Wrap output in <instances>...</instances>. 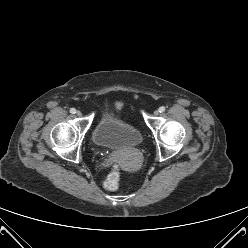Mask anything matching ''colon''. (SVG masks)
Wrapping results in <instances>:
<instances>
[{"label": "colon", "mask_w": 248, "mask_h": 248, "mask_svg": "<svg viewBox=\"0 0 248 248\" xmlns=\"http://www.w3.org/2000/svg\"><path fill=\"white\" fill-rule=\"evenodd\" d=\"M120 175L119 172L114 169L107 177L104 186L107 190L113 191L119 187Z\"/></svg>", "instance_id": "colon-1"}]
</instances>
